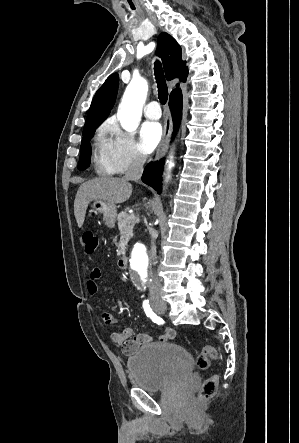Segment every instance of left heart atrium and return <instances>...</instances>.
<instances>
[{
    "label": "left heart atrium",
    "instance_id": "left-heart-atrium-1",
    "mask_svg": "<svg viewBox=\"0 0 299 443\" xmlns=\"http://www.w3.org/2000/svg\"><path fill=\"white\" fill-rule=\"evenodd\" d=\"M162 138V127L158 122H146L140 130L141 148L145 153H151Z\"/></svg>",
    "mask_w": 299,
    "mask_h": 443
}]
</instances>
